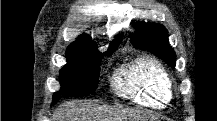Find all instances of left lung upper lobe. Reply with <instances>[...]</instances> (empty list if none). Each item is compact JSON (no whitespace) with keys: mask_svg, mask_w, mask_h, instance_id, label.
I'll return each mask as SVG.
<instances>
[{"mask_svg":"<svg viewBox=\"0 0 217 121\" xmlns=\"http://www.w3.org/2000/svg\"><path fill=\"white\" fill-rule=\"evenodd\" d=\"M136 32L130 34L131 42L142 50L160 57L170 67L176 64V54L168 41L167 30L160 24L136 23Z\"/></svg>","mask_w":217,"mask_h":121,"instance_id":"obj_1","label":"left lung upper lobe"}]
</instances>
